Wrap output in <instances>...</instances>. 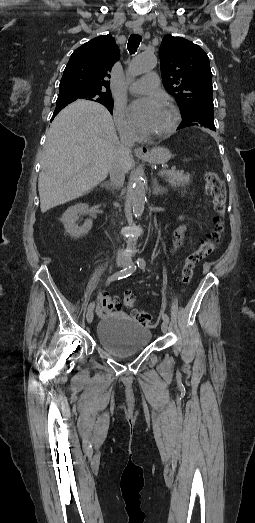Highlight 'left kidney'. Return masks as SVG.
<instances>
[{
    "mask_svg": "<svg viewBox=\"0 0 255 523\" xmlns=\"http://www.w3.org/2000/svg\"><path fill=\"white\" fill-rule=\"evenodd\" d=\"M179 220H183L182 216H179Z\"/></svg>",
    "mask_w": 255,
    "mask_h": 523,
    "instance_id": "1",
    "label": "left kidney"
}]
</instances>
